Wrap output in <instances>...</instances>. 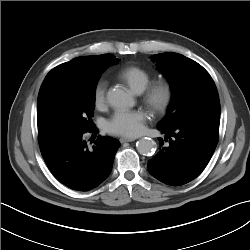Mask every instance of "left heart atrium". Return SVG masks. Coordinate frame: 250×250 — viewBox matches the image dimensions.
Returning a JSON list of instances; mask_svg holds the SVG:
<instances>
[{"label":"left heart atrium","instance_id":"left-heart-atrium-1","mask_svg":"<svg viewBox=\"0 0 250 250\" xmlns=\"http://www.w3.org/2000/svg\"><path fill=\"white\" fill-rule=\"evenodd\" d=\"M149 115L144 110H117L107 121L109 132L127 138H134L142 134Z\"/></svg>","mask_w":250,"mask_h":250}]
</instances>
